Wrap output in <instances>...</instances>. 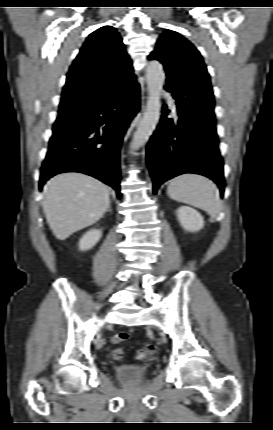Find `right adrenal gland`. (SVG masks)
Returning <instances> with one entry per match:
<instances>
[{
  "label": "right adrenal gland",
  "mask_w": 273,
  "mask_h": 430,
  "mask_svg": "<svg viewBox=\"0 0 273 430\" xmlns=\"http://www.w3.org/2000/svg\"><path fill=\"white\" fill-rule=\"evenodd\" d=\"M108 211H111V207L109 206Z\"/></svg>",
  "instance_id": "2a0ac1e0"
}]
</instances>
